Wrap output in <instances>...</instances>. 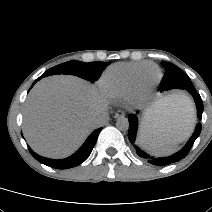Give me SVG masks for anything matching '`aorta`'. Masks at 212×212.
<instances>
[{"mask_svg": "<svg viewBox=\"0 0 212 212\" xmlns=\"http://www.w3.org/2000/svg\"><path fill=\"white\" fill-rule=\"evenodd\" d=\"M116 127L121 131H126L129 128V121L125 117H119L116 122Z\"/></svg>", "mask_w": 212, "mask_h": 212, "instance_id": "obj_1", "label": "aorta"}]
</instances>
